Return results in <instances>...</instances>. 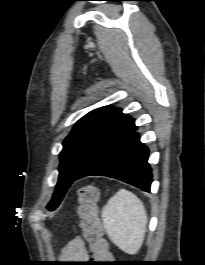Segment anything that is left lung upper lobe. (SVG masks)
I'll list each match as a JSON object with an SVG mask.
<instances>
[{
	"instance_id": "1",
	"label": "left lung upper lobe",
	"mask_w": 205,
	"mask_h": 265,
	"mask_svg": "<svg viewBox=\"0 0 205 265\" xmlns=\"http://www.w3.org/2000/svg\"><path fill=\"white\" fill-rule=\"evenodd\" d=\"M131 121L121 109L110 106L95 109L82 117L63 142L59 179L47 208L50 211L62 201L77 175Z\"/></svg>"
}]
</instances>
